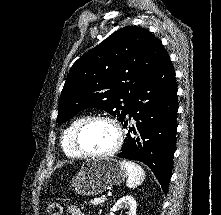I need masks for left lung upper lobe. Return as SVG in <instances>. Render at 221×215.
I'll use <instances>...</instances> for the list:
<instances>
[{"label": "left lung upper lobe", "instance_id": "left-lung-upper-lobe-1", "mask_svg": "<svg viewBox=\"0 0 221 215\" xmlns=\"http://www.w3.org/2000/svg\"><path fill=\"white\" fill-rule=\"evenodd\" d=\"M167 57L160 40L146 29L126 26L116 31L70 68L57 122L64 123L88 107L105 110L123 122L141 85Z\"/></svg>", "mask_w": 221, "mask_h": 215}]
</instances>
